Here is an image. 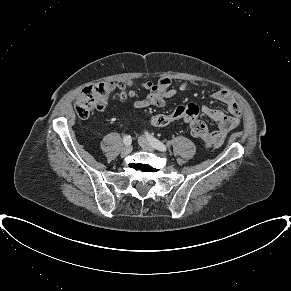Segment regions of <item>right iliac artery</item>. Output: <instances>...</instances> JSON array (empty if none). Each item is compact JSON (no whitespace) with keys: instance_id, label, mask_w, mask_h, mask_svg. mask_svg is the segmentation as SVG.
Returning a JSON list of instances; mask_svg holds the SVG:
<instances>
[{"instance_id":"right-iliac-artery-1","label":"right iliac artery","mask_w":291,"mask_h":291,"mask_svg":"<svg viewBox=\"0 0 291 291\" xmlns=\"http://www.w3.org/2000/svg\"><path fill=\"white\" fill-rule=\"evenodd\" d=\"M123 142L127 146L130 145L131 142H132L131 136L130 135H125L124 138H123Z\"/></svg>"}]
</instances>
